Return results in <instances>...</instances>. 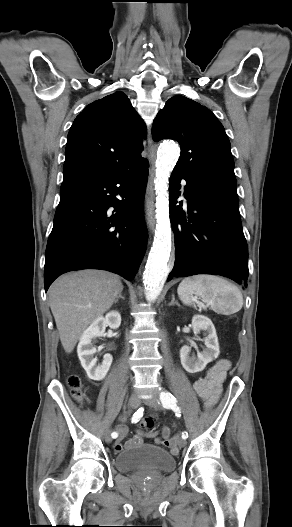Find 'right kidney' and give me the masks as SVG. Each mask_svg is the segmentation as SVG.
I'll return each instance as SVG.
<instances>
[{
    "label": "right kidney",
    "instance_id": "1",
    "mask_svg": "<svg viewBox=\"0 0 292 527\" xmlns=\"http://www.w3.org/2000/svg\"><path fill=\"white\" fill-rule=\"evenodd\" d=\"M121 324V316L117 311H111L105 317H99L93 321L90 326L83 332L78 347L77 353L81 361L82 367L85 369L87 376L95 381H100L105 378L112 363V356L105 354L101 364L97 365V358L94 357L96 348L93 347L92 341L100 337L105 332V328L109 326L111 329L119 328Z\"/></svg>",
    "mask_w": 292,
    "mask_h": 527
}]
</instances>
